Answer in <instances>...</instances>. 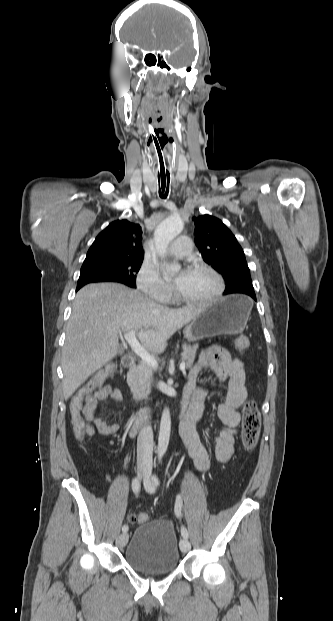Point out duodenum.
I'll return each instance as SVG.
<instances>
[{
    "instance_id": "duodenum-1",
    "label": "duodenum",
    "mask_w": 333,
    "mask_h": 621,
    "mask_svg": "<svg viewBox=\"0 0 333 621\" xmlns=\"http://www.w3.org/2000/svg\"><path fill=\"white\" fill-rule=\"evenodd\" d=\"M122 365L124 366V368L128 372V381H129V376H130L131 372L134 370V368L136 366V360H135V358L133 356L126 355L122 359ZM190 391H191V386L187 384L185 386V388H184V391H183L182 403H185L187 401V398H188V396L190 394ZM156 416H157V413L153 409H148V410L142 412L139 415V417L137 418V420L129 425V428H128L129 435L130 436H135L137 434V432L144 425L152 423L153 421H155ZM178 416H182L181 425L195 424L196 421L198 420L196 415L190 414L188 411H186V413L184 414L182 408L179 410Z\"/></svg>"
}]
</instances>
